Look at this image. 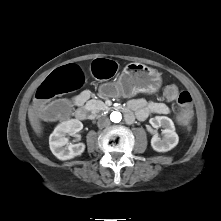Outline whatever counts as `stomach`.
<instances>
[{"instance_id":"0dacf381","label":"stomach","mask_w":221,"mask_h":221,"mask_svg":"<svg viewBox=\"0 0 221 221\" xmlns=\"http://www.w3.org/2000/svg\"><path fill=\"white\" fill-rule=\"evenodd\" d=\"M161 74L141 63H129L118 79L110 83L114 96L131 97L138 93H155L161 87Z\"/></svg>"}]
</instances>
